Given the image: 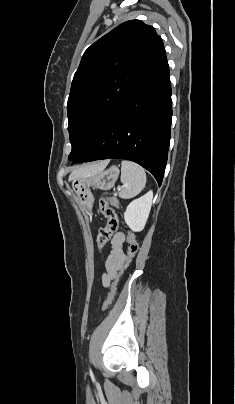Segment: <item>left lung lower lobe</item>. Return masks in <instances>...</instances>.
Segmentation results:
<instances>
[{"mask_svg": "<svg viewBox=\"0 0 235 404\" xmlns=\"http://www.w3.org/2000/svg\"><path fill=\"white\" fill-rule=\"evenodd\" d=\"M172 117L171 84L166 55L134 87L74 162L123 158L140 164L162 183Z\"/></svg>", "mask_w": 235, "mask_h": 404, "instance_id": "left-lung-lower-lobe-1", "label": "left lung lower lobe"}]
</instances>
